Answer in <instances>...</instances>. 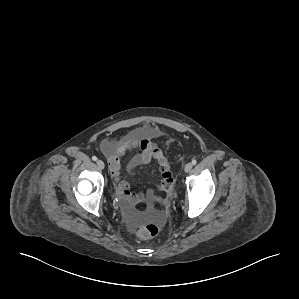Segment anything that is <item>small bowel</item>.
<instances>
[{"label": "small bowel", "instance_id": "1", "mask_svg": "<svg viewBox=\"0 0 299 299\" xmlns=\"http://www.w3.org/2000/svg\"><path fill=\"white\" fill-rule=\"evenodd\" d=\"M154 137L155 132L153 130L140 128L131 131L119 141H105L101 144V150L109 161V168L116 185L119 200L129 216L135 215V208L140 204H146L153 197L154 191L148 189L143 193L131 192L128 182L122 178L120 172L121 161L125 156L137 151L129 160L128 172H133L140 165L148 164L153 160L158 163L162 178L158 190L167 192L173 183L167 159L153 142Z\"/></svg>", "mask_w": 299, "mask_h": 299}]
</instances>
